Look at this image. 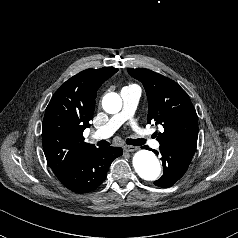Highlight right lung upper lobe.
<instances>
[{"label": "right lung upper lobe", "mask_w": 238, "mask_h": 238, "mask_svg": "<svg viewBox=\"0 0 238 238\" xmlns=\"http://www.w3.org/2000/svg\"><path fill=\"white\" fill-rule=\"evenodd\" d=\"M118 69L84 70L68 79L51 98L42 125L46 160L57 176L70 170L88 151L83 131L90 126L97 90Z\"/></svg>", "instance_id": "obj_1"}]
</instances>
